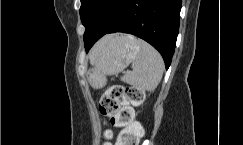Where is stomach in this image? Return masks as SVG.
<instances>
[{
  "mask_svg": "<svg viewBox=\"0 0 243 145\" xmlns=\"http://www.w3.org/2000/svg\"><path fill=\"white\" fill-rule=\"evenodd\" d=\"M138 40L126 34H113L103 38L91 55L92 67L88 81L94 88L106 84V76L123 71L139 54Z\"/></svg>",
  "mask_w": 243,
  "mask_h": 145,
  "instance_id": "0dacf381",
  "label": "stomach"
}]
</instances>
